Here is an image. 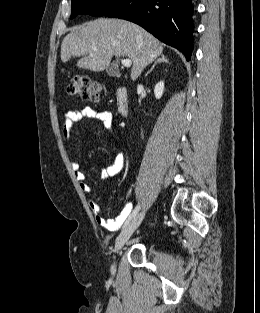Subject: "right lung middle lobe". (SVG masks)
<instances>
[{"mask_svg":"<svg viewBox=\"0 0 260 313\" xmlns=\"http://www.w3.org/2000/svg\"><path fill=\"white\" fill-rule=\"evenodd\" d=\"M125 0H72L71 19L79 14L104 16Z\"/></svg>","mask_w":260,"mask_h":313,"instance_id":"dd1d6c3e","label":"right lung middle lobe"}]
</instances>
